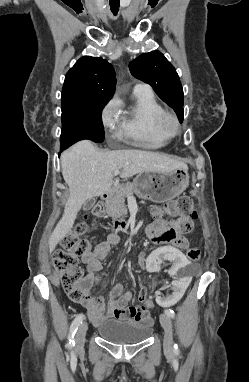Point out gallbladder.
<instances>
[{
  "label": "gallbladder",
  "instance_id": "obj_1",
  "mask_svg": "<svg viewBox=\"0 0 249 382\" xmlns=\"http://www.w3.org/2000/svg\"><path fill=\"white\" fill-rule=\"evenodd\" d=\"M96 203L95 198L88 199L84 204H83V210L84 211H89L94 207Z\"/></svg>",
  "mask_w": 249,
  "mask_h": 382
}]
</instances>
